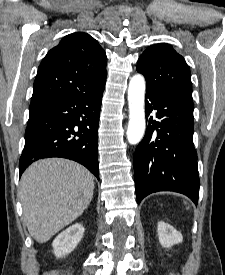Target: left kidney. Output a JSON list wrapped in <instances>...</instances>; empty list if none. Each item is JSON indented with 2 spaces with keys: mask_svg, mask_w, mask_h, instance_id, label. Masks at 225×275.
Listing matches in <instances>:
<instances>
[{
  "mask_svg": "<svg viewBox=\"0 0 225 275\" xmlns=\"http://www.w3.org/2000/svg\"><path fill=\"white\" fill-rule=\"evenodd\" d=\"M157 232L159 242L164 248H171L173 245L183 241L182 234L165 222L158 223Z\"/></svg>",
  "mask_w": 225,
  "mask_h": 275,
  "instance_id": "5707ae66",
  "label": "left kidney"
}]
</instances>
